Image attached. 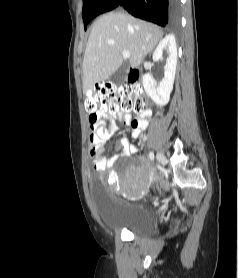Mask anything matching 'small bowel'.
<instances>
[{
    "label": "small bowel",
    "instance_id": "1",
    "mask_svg": "<svg viewBox=\"0 0 238 278\" xmlns=\"http://www.w3.org/2000/svg\"><path fill=\"white\" fill-rule=\"evenodd\" d=\"M150 111H145L132 117L131 112H125L118 110L114 113L103 112L101 113L102 120L92 126L90 134V157L93 162L94 168L103 172L112 168L115 162L124 156H130L137 152V148L130 142L128 138H122L120 141V147L122 152L120 154L113 155L110 158L104 156V143L110 139L111 133L105 128L106 120H113L118 123H124L131 129V137L137 139L148 128Z\"/></svg>",
    "mask_w": 238,
    "mask_h": 278
}]
</instances>
